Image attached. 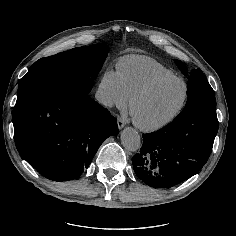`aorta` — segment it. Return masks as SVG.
<instances>
[{"label": "aorta", "mask_w": 236, "mask_h": 236, "mask_svg": "<svg viewBox=\"0 0 236 236\" xmlns=\"http://www.w3.org/2000/svg\"><path fill=\"white\" fill-rule=\"evenodd\" d=\"M123 147L131 152L137 151L141 146V138L138 132L131 127L125 128L121 133Z\"/></svg>", "instance_id": "1"}]
</instances>
